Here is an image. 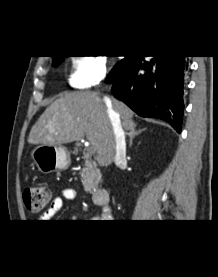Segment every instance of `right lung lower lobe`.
<instances>
[{
	"mask_svg": "<svg viewBox=\"0 0 218 277\" xmlns=\"http://www.w3.org/2000/svg\"><path fill=\"white\" fill-rule=\"evenodd\" d=\"M138 57H131L119 68L112 93L140 116L166 120L180 133L188 70L185 56H153L142 65L143 57ZM140 69L144 73L138 75Z\"/></svg>",
	"mask_w": 218,
	"mask_h": 277,
	"instance_id": "98d812e1",
	"label": "right lung lower lobe"
}]
</instances>
